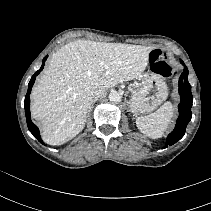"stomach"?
Returning a JSON list of instances; mask_svg holds the SVG:
<instances>
[{
	"instance_id": "1",
	"label": "stomach",
	"mask_w": 211,
	"mask_h": 211,
	"mask_svg": "<svg viewBox=\"0 0 211 211\" xmlns=\"http://www.w3.org/2000/svg\"><path fill=\"white\" fill-rule=\"evenodd\" d=\"M142 83L132 93L131 110L134 113H150L163 103L168 96L164 77L154 68L140 76Z\"/></svg>"
}]
</instances>
